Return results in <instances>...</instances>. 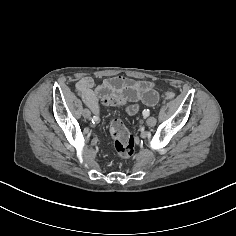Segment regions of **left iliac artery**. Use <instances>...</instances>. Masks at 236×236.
I'll return each instance as SVG.
<instances>
[{
    "mask_svg": "<svg viewBox=\"0 0 236 236\" xmlns=\"http://www.w3.org/2000/svg\"><path fill=\"white\" fill-rule=\"evenodd\" d=\"M149 114H150V112H149L148 109L143 111V116H144V117L149 116Z\"/></svg>",
    "mask_w": 236,
    "mask_h": 236,
    "instance_id": "obj_1",
    "label": "left iliac artery"
}]
</instances>
